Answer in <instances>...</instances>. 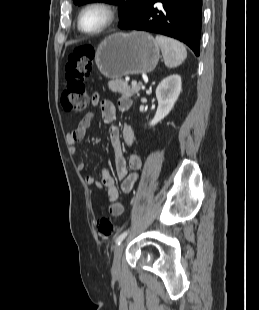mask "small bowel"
<instances>
[{
  "label": "small bowel",
  "mask_w": 259,
  "mask_h": 310,
  "mask_svg": "<svg viewBox=\"0 0 259 310\" xmlns=\"http://www.w3.org/2000/svg\"><path fill=\"white\" fill-rule=\"evenodd\" d=\"M91 105H100L102 118L106 123H111L114 120L116 107L111 101L100 100L99 95L94 93L91 97ZM130 107L131 101L129 98L121 97L118 100V108L121 111H126ZM93 117V112L87 113L79 122L78 126L67 134L66 139L71 154H76V145L85 138ZM122 139L131 147L135 142L133 130L128 125H124L121 128L111 125L109 127V140L114 151L117 177L121 181L120 189L123 193H130L138 181V171L141 169L142 161L140 156L134 152H131L126 160L123 154ZM84 167L85 164L83 162L77 163L78 170H83ZM129 169L131 170L130 173L128 172ZM85 182L88 185H95L98 188L104 187L107 192L108 201L110 202L111 214L115 217L123 214L125 205L119 201V188L116 186L114 178L106 167L101 168L100 180H97L93 175H87Z\"/></svg>",
  "instance_id": "obj_1"
}]
</instances>
